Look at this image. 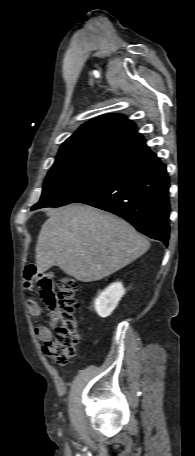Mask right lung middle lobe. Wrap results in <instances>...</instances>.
I'll use <instances>...</instances> for the list:
<instances>
[{"label": "right lung middle lobe", "instance_id": "dd1d6c3e", "mask_svg": "<svg viewBox=\"0 0 195 456\" xmlns=\"http://www.w3.org/2000/svg\"><path fill=\"white\" fill-rule=\"evenodd\" d=\"M121 170V167L92 161L54 164L45 179L41 199L33 210L75 203L108 183Z\"/></svg>", "mask_w": 195, "mask_h": 456}]
</instances>
